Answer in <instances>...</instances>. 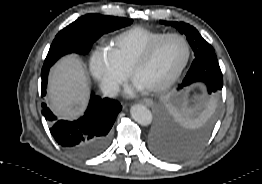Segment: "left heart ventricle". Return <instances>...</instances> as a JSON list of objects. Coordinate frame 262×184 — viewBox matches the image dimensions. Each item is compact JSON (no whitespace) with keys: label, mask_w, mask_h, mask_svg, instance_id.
<instances>
[{"label":"left heart ventricle","mask_w":262,"mask_h":184,"mask_svg":"<svg viewBox=\"0 0 262 184\" xmlns=\"http://www.w3.org/2000/svg\"><path fill=\"white\" fill-rule=\"evenodd\" d=\"M186 56L184 43L176 37L162 41L149 62L141 67L136 81L144 88L161 85L180 67Z\"/></svg>","instance_id":"b2bd125f"}]
</instances>
